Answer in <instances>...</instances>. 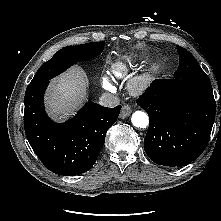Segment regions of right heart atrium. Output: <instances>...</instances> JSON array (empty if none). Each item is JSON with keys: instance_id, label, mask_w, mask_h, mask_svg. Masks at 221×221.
<instances>
[{"instance_id": "obj_1", "label": "right heart atrium", "mask_w": 221, "mask_h": 221, "mask_svg": "<svg viewBox=\"0 0 221 221\" xmlns=\"http://www.w3.org/2000/svg\"><path fill=\"white\" fill-rule=\"evenodd\" d=\"M102 85H103V87H104L105 89H107V90H113V89H114V87L112 86V84H111L109 78L106 77V76H104V77L102 78Z\"/></svg>"}]
</instances>
